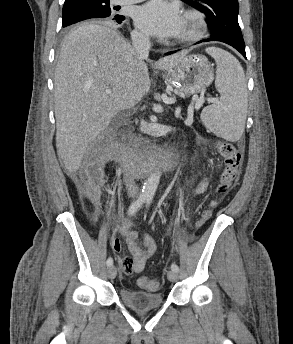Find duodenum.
<instances>
[{
    "label": "duodenum",
    "instance_id": "410a0bca",
    "mask_svg": "<svg viewBox=\"0 0 293 344\" xmlns=\"http://www.w3.org/2000/svg\"><path fill=\"white\" fill-rule=\"evenodd\" d=\"M167 165L172 167L174 165V158L172 156H170L167 161H166Z\"/></svg>",
    "mask_w": 293,
    "mask_h": 344
}]
</instances>
